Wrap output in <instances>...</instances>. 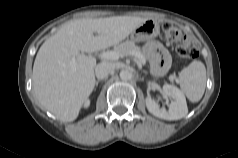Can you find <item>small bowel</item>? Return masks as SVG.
<instances>
[{
    "label": "small bowel",
    "mask_w": 238,
    "mask_h": 158,
    "mask_svg": "<svg viewBox=\"0 0 238 158\" xmlns=\"http://www.w3.org/2000/svg\"><path fill=\"white\" fill-rule=\"evenodd\" d=\"M145 51L150 59L153 73L162 75L170 67L171 58L167 50L157 41H149Z\"/></svg>",
    "instance_id": "1"
}]
</instances>
